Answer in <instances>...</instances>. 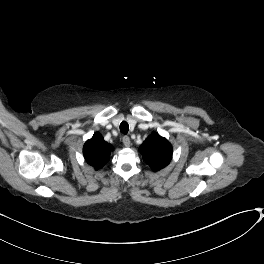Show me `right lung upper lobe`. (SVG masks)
<instances>
[{"label": "right lung upper lobe", "mask_w": 264, "mask_h": 264, "mask_svg": "<svg viewBox=\"0 0 264 264\" xmlns=\"http://www.w3.org/2000/svg\"><path fill=\"white\" fill-rule=\"evenodd\" d=\"M113 146L104 141L100 133L96 132L93 137L86 141L83 154L88 164L99 169L109 161Z\"/></svg>", "instance_id": "right-lung-upper-lobe-1"}]
</instances>
